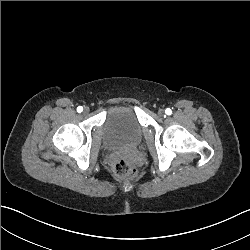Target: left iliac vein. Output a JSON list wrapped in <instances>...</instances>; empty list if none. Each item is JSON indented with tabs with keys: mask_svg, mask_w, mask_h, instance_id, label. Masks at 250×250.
Masks as SVG:
<instances>
[{
	"mask_svg": "<svg viewBox=\"0 0 250 250\" xmlns=\"http://www.w3.org/2000/svg\"><path fill=\"white\" fill-rule=\"evenodd\" d=\"M158 114H159V116H164V110L163 109H159L158 110Z\"/></svg>",
	"mask_w": 250,
	"mask_h": 250,
	"instance_id": "left-iliac-vein-1",
	"label": "left iliac vein"
}]
</instances>
